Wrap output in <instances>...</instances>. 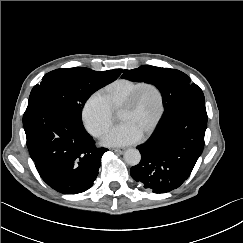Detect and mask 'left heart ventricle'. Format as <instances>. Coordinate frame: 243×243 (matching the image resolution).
Instances as JSON below:
<instances>
[{"label":"left heart ventricle","instance_id":"obj_1","mask_svg":"<svg viewBox=\"0 0 243 243\" xmlns=\"http://www.w3.org/2000/svg\"><path fill=\"white\" fill-rule=\"evenodd\" d=\"M159 96L152 87L144 88L138 97L135 107L119 113L121 123H128L144 134L155 121L159 112Z\"/></svg>","mask_w":243,"mask_h":243}]
</instances>
